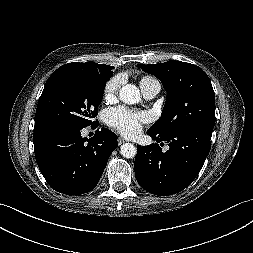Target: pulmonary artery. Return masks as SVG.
<instances>
[{
	"label": "pulmonary artery",
	"instance_id": "e3ab8cb5",
	"mask_svg": "<svg viewBox=\"0 0 253 253\" xmlns=\"http://www.w3.org/2000/svg\"><path fill=\"white\" fill-rule=\"evenodd\" d=\"M142 93L145 98L152 99L160 90V84L155 83L145 87H141Z\"/></svg>",
	"mask_w": 253,
	"mask_h": 253
}]
</instances>
